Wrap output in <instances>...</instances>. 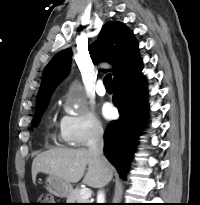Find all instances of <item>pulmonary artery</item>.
I'll list each match as a JSON object with an SVG mask.
<instances>
[{
    "label": "pulmonary artery",
    "instance_id": "1",
    "mask_svg": "<svg viewBox=\"0 0 200 205\" xmlns=\"http://www.w3.org/2000/svg\"><path fill=\"white\" fill-rule=\"evenodd\" d=\"M95 90L99 96H104L106 94V89L101 80L97 82Z\"/></svg>",
    "mask_w": 200,
    "mask_h": 205
}]
</instances>
